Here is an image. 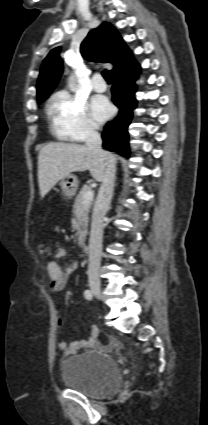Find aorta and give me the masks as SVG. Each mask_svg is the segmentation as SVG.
Here are the masks:
<instances>
[{
    "label": "aorta",
    "mask_w": 208,
    "mask_h": 425,
    "mask_svg": "<svg viewBox=\"0 0 208 425\" xmlns=\"http://www.w3.org/2000/svg\"><path fill=\"white\" fill-rule=\"evenodd\" d=\"M67 86L69 88L70 91L74 92L77 89V84H76V79H75V75L71 74L68 82H67Z\"/></svg>",
    "instance_id": "aorta-1"
}]
</instances>
